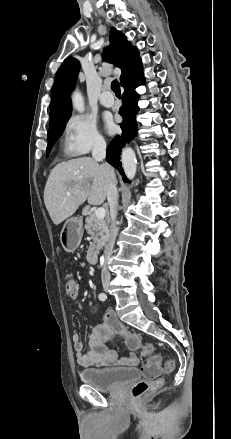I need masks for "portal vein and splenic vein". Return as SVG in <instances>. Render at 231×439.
<instances>
[{"mask_svg": "<svg viewBox=\"0 0 231 439\" xmlns=\"http://www.w3.org/2000/svg\"><path fill=\"white\" fill-rule=\"evenodd\" d=\"M68 195L70 194L69 192L67 193ZM106 215V210L104 208H98L95 211V216L97 219H104Z\"/></svg>", "mask_w": 231, "mask_h": 439, "instance_id": "1", "label": "portal vein and splenic vein"}]
</instances>
